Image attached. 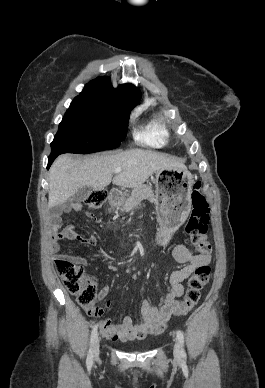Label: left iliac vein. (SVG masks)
Masks as SVG:
<instances>
[{
    "label": "left iliac vein",
    "mask_w": 265,
    "mask_h": 388,
    "mask_svg": "<svg viewBox=\"0 0 265 388\" xmlns=\"http://www.w3.org/2000/svg\"><path fill=\"white\" fill-rule=\"evenodd\" d=\"M174 357L176 359H180V357H181L180 343H179V341L177 339H176L175 345H174Z\"/></svg>",
    "instance_id": "1"
}]
</instances>
